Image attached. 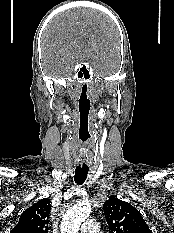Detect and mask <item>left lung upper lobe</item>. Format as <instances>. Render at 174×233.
I'll list each match as a JSON object with an SVG mask.
<instances>
[{
  "mask_svg": "<svg viewBox=\"0 0 174 233\" xmlns=\"http://www.w3.org/2000/svg\"><path fill=\"white\" fill-rule=\"evenodd\" d=\"M103 209L109 233H152L140 212L125 201L110 197Z\"/></svg>",
  "mask_w": 174,
  "mask_h": 233,
  "instance_id": "5c2ea615",
  "label": "left lung upper lobe"
}]
</instances>
